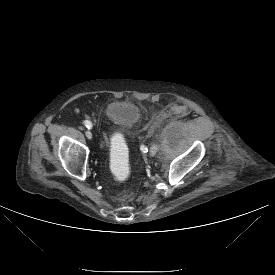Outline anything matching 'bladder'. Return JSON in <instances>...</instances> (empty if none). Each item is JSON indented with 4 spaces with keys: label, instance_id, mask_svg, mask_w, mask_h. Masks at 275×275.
Segmentation results:
<instances>
[{
    "label": "bladder",
    "instance_id": "31cf9c89",
    "mask_svg": "<svg viewBox=\"0 0 275 275\" xmlns=\"http://www.w3.org/2000/svg\"><path fill=\"white\" fill-rule=\"evenodd\" d=\"M105 119L115 127L129 130L140 121L139 106L130 100H113L104 108Z\"/></svg>",
    "mask_w": 275,
    "mask_h": 275
}]
</instances>
